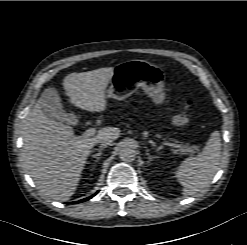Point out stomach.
Segmentation results:
<instances>
[{
  "mask_svg": "<svg viewBox=\"0 0 247 245\" xmlns=\"http://www.w3.org/2000/svg\"><path fill=\"white\" fill-rule=\"evenodd\" d=\"M165 78L159 66L146 60L125 61L114 68L107 94L124 100L142 88L155 104H161L165 99Z\"/></svg>",
  "mask_w": 247,
  "mask_h": 245,
  "instance_id": "0dacf381",
  "label": "stomach"
}]
</instances>
